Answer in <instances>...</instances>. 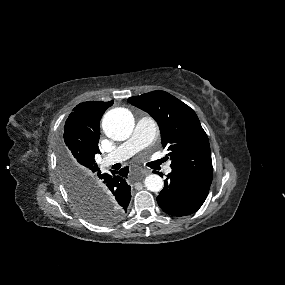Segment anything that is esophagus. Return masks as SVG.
Here are the masks:
<instances>
[{"mask_svg":"<svg viewBox=\"0 0 285 285\" xmlns=\"http://www.w3.org/2000/svg\"><path fill=\"white\" fill-rule=\"evenodd\" d=\"M140 173H141V175H147V174L151 173V171L149 169L143 168L140 170Z\"/></svg>","mask_w":285,"mask_h":285,"instance_id":"1","label":"esophagus"}]
</instances>
